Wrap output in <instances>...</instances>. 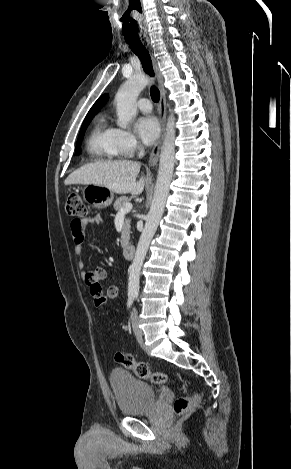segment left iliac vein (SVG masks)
Listing matches in <instances>:
<instances>
[{
    "label": "left iliac vein",
    "mask_w": 291,
    "mask_h": 469,
    "mask_svg": "<svg viewBox=\"0 0 291 469\" xmlns=\"http://www.w3.org/2000/svg\"><path fill=\"white\" fill-rule=\"evenodd\" d=\"M131 323H132V328L134 331V334L138 339H141L143 336L142 330L139 328V321H138V312L137 309L134 308L132 313H131Z\"/></svg>",
    "instance_id": "4c4485c4"
}]
</instances>
